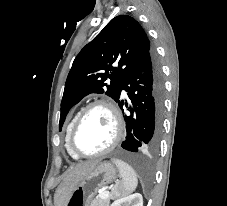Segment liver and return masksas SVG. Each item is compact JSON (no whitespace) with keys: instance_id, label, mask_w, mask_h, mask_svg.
<instances>
[{"instance_id":"1","label":"liver","mask_w":227,"mask_h":206,"mask_svg":"<svg viewBox=\"0 0 227 206\" xmlns=\"http://www.w3.org/2000/svg\"><path fill=\"white\" fill-rule=\"evenodd\" d=\"M97 164L98 162H86L71 168L56 190L54 196L55 206H66L76 186Z\"/></svg>"}]
</instances>
